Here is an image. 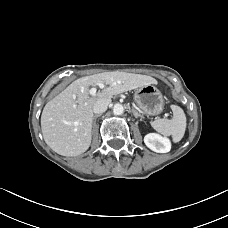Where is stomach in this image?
<instances>
[{"mask_svg":"<svg viewBox=\"0 0 228 228\" xmlns=\"http://www.w3.org/2000/svg\"><path fill=\"white\" fill-rule=\"evenodd\" d=\"M134 100L146 115L155 116L164 109L162 93L153 84L139 87L135 92Z\"/></svg>","mask_w":228,"mask_h":228,"instance_id":"stomach-1","label":"stomach"}]
</instances>
